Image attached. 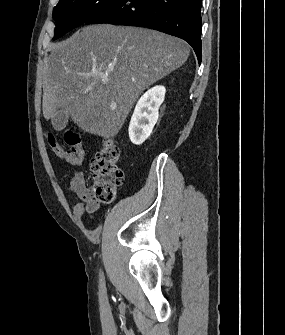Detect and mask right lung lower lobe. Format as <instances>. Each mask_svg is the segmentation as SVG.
I'll return each instance as SVG.
<instances>
[{
    "label": "right lung lower lobe",
    "mask_w": 285,
    "mask_h": 335,
    "mask_svg": "<svg viewBox=\"0 0 285 335\" xmlns=\"http://www.w3.org/2000/svg\"><path fill=\"white\" fill-rule=\"evenodd\" d=\"M202 0H118L85 23H112L148 27L179 37L194 49L199 64Z\"/></svg>",
    "instance_id": "right-lung-lower-lobe-1"
}]
</instances>
